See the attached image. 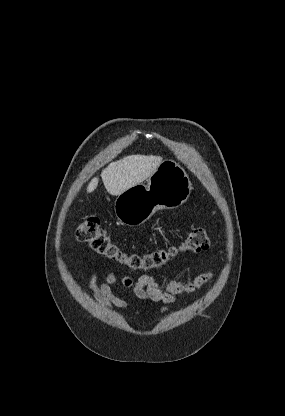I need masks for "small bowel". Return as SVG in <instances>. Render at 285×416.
<instances>
[{
    "instance_id": "obj_1",
    "label": "small bowel",
    "mask_w": 285,
    "mask_h": 416,
    "mask_svg": "<svg viewBox=\"0 0 285 416\" xmlns=\"http://www.w3.org/2000/svg\"><path fill=\"white\" fill-rule=\"evenodd\" d=\"M214 277L215 273L209 271L197 275L189 283L171 281L165 289H162L150 275H142L136 280L124 276L119 280L114 273L110 272L100 282L97 273H93L90 276L88 288L92 292L95 301L108 311H112L114 307L122 309L128 307L127 302L112 289L114 286L120 285L143 301L162 302L164 307L161 313H165L176 302L178 296L195 292L204 284L212 281Z\"/></svg>"
}]
</instances>
